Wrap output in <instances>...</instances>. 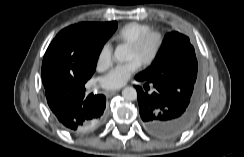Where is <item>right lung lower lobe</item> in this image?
I'll return each instance as SVG.
<instances>
[{
	"mask_svg": "<svg viewBox=\"0 0 244 157\" xmlns=\"http://www.w3.org/2000/svg\"><path fill=\"white\" fill-rule=\"evenodd\" d=\"M85 84H69L45 92L56 121L72 133L83 134L94 130L106 115L104 95H87Z\"/></svg>",
	"mask_w": 244,
	"mask_h": 157,
	"instance_id": "98d812e1",
	"label": "right lung lower lobe"
}]
</instances>
